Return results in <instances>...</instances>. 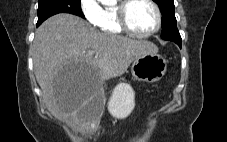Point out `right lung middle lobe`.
<instances>
[{
  "label": "right lung middle lobe",
  "instance_id": "dd1d6c3e",
  "mask_svg": "<svg viewBox=\"0 0 227 142\" xmlns=\"http://www.w3.org/2000/svg\"><path fill=\"white\" fill-rule=\"evenodd\" d=\"M38 22L58 13H70L85 18L80 5V0H38Z\"/></svg>",
  "mask_w": 227,
  "mask_h": 142
}]
</instances>
